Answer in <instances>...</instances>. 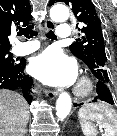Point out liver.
Returning a JSON list of instances; mask_svg holds the SVG:
<instances>
[{"instance_id": "obj_1", "label": "liver", "mask_w": 117, "mask_h": 136, "mask_svg": "<svg viewBox=\"0 0 117 136\" xmlns=\"http://www.w3.org/2000/svg\"><path fill=\"white\" fill-rule=\"evenodd\" d=\"M28 109L27 101L20 94L0 89V136H24Z\"/></svg>"}]
</instances>
